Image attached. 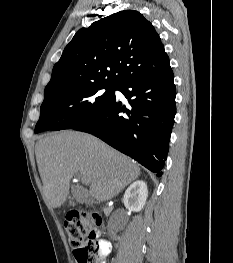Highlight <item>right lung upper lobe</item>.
Returning a JSON list of instances; mask_svg holds the SVG:
<instances>
[{
  "instance_id": "obj_1",
  "label": "right lung upper lobe",
  "mask_w": 233,
  "mask_h": 263,
  "mask_svg": "<svg viewBox=\"0 0 233 263\" xmlns=\"http://www.w3.org/2000/svg\"><path fill=\"white\" fill-rule=\"evenodd\" d=\"M169 67L154 26L137 11H120L75 34L53 67L44 98L89 85L117 87Z\"/></svg>"
}]
</instances>
